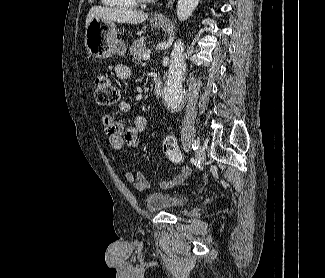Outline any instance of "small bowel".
Wrapping results in <instances>:
<instances>
[{"instance_id":"c3829d8e","label":"small bowel","mask_w":325,"mask_h":278,"mask_svg":"<svg viewBox=\"0 0 325 278\" xmlns=\"http://www.w3.org/2000/svg\"><path fill=\"white\" fill-rule=\"evenodd\" d=\"M115 73L120 79H128L131 75L129 67L125 64H118L115 67ZM118 108L121 112L127 113L132 110V104L128 100H121ZM101 124L104 130V134L109 144L115 149L120 150L123 147L136 149L139 146L140 139L144 134L147 127V119L143 115H137L133 121V124L126 126L121 121H116L109 114H104L101 117ZM189 176V170L184 169L181 174L175 178L161 182L162 188H168L184 181ZM124 178L129 183L134 184L138 189L148 188V181L141 172H130L124 173Z\"/></svg>"}]
</instances>
